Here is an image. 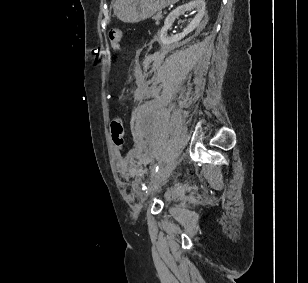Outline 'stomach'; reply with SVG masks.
I'll list each match as a JSON object with an SVG mask.
<instances>
[{
    "instance_id": "0dacf381",
    "label": "stomach",
    "mask_w": 308,
    "mask_h": 283,
    "mask_svg": "<svg viewBox=\"0 0 308 283\" xmlns=\"http://www.w3.org/2000/svg\"><path fill=\"white\" fill-rule=\"evenodd\" d=\"M179 0H113L115 16L126 23H138Z\"/></svg>"
}]
</instances>
